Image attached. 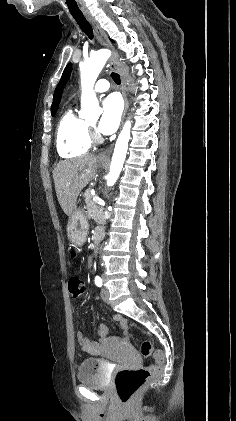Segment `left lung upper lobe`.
Wrapping results in <instances>:
<instances>
[{
    "mask_svg": "<svg viewBox=\"0 0 236 421\" xmlns=\"http://www.w3.org/2000/svg\"><path fill=\"white\" fill-rule=\"evenodd\" d=\"M112 41V40H111ZM71 70H72V64L69 63L66 68L64 69V72L62 74V77L60 79V82L56 88V93H55V97L58 94V92L60 91V88L67 82L70 74H71Z\"/></svg>",
    "mask_w": 236,
    "mask_h": 421,
    "instance_id": "obj_1",
    "label": "left lung upper lobe"
}]
</instances>
